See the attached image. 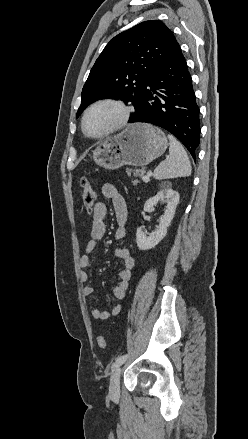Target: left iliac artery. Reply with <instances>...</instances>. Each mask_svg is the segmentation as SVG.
I'll list each match as a JSON object with an SVG mask.
<instances>
[{
    "instance_id": "44dca946",
    "label": "left iliac artery",
    "mask_w": 248,
    "mask_h": 439,
    "mask_svg": "<svg viewBox=\"0 0 248 439\" xmlns=\"http://www.w3.org/2000/svg\"><path fill=\"white\" fill-rule=\"evenodd\" d=\"M128 356H129L128 354H124L118 357L116 361L112 364V370L123 364L127 360Z\"/></svg>"
}]
</instances>
